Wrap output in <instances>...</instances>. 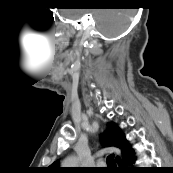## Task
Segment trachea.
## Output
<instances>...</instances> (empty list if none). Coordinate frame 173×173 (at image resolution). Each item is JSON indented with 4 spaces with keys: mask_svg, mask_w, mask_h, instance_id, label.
I'll list each match as a JSON object with an SVG mask.
<instances>
[{
    "mask_svg": "<svg viewBox=\"0 0 173 173\" xmlns=\"http://www.w3.org/2000/svg\"><path fill=\"white\" fill-rule=\"evenodd\" d=\"M107 169H114L116 168V163H115V160H114V155H110L108 158H107Z\"/></svg>",
    "mask_w": 173,
    "mask_h": 173,
    "instance_id": "1",
    "label": "trachea"
}]
</instances>
